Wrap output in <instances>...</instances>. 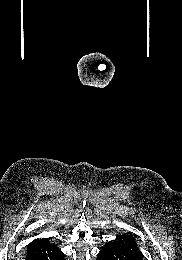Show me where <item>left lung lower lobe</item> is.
Instances as JSON below:
<instances>
[{
  "label": "left lung lower lobe",
  "mask_w": 182,
  "mask_h": 260,
  "mask_svg": "<svg viewBox=\"0 0 182 260\" xmlns=\"http://www.w3.org/2000/svg\"><path fill=\"white\" fill-rule=\"evenodd\" d=\"M97 260H143V255L131 235H119L99 251Z\"/></svg>",
  "instance_id": "0a47b994"
}]
</instances>
